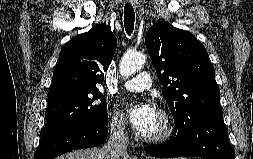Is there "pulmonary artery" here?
Listing matches in <instances>:
<instances>
[{"mask_svg": "<svg viewBox=\"0 0 253 159\" xmlns=\"http://www.w3.org/2000/svg\"><path fill=\"white\" fill-rule=\"evenodd\" d=\"M152 85L150 76L147 72H141L136 77H133L122 83V86L133 92H141L149 89Z\"/></svg>", "mask_w": 253, "mask_h": 159, "instance_id": "e3ab8cb5", "label": "pulmonary artery"}]
</instances>
